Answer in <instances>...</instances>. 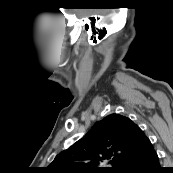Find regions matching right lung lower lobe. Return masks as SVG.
<instances>
[{
  "label": "right lung lower lobe",
  "instance_id": "1",
  "mask_svg": "<svg viewBox=\"0 0 173 173\" xmlns=\"http://www.w3.org/2000/svg\"><path fill=\"white\" fill-rule=\"evenodd\" d=\"M119 173H164V170L160 167L158 155L151 146L127 161Z\"/></svg>",
  "mask_w": 173,
  "mask_h": 173
}]
</instances>
